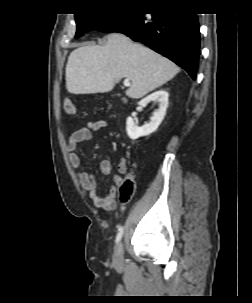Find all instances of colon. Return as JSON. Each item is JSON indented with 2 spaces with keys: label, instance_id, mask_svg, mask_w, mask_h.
Instances as JSON below:
<instances>
[{
  "label": "colon",
  "instance_id": "colon-1",
  "mask_svg": "<svg viewBox=\"0 0 252 303\" xmlns=\"http://www.w3.org/2000/svg\"><path fill=\"white\" fill-rule=\"evenodd\" d=\"M63 110L66 114L72 115L75 113V103L71 98H64ZM136 179L134 174L126 176L120 186V201L122 203L129 202L135 192Z\"/></svg>",
  "mask_w": 252,
  "mask_h": 303
}]
</instances>
